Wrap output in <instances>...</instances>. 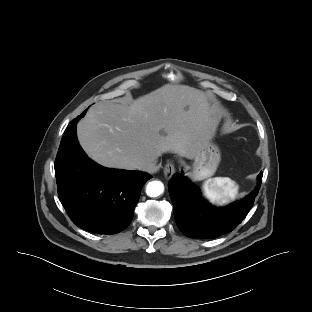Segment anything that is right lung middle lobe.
Listing matches in <instances>:
<instances>
[{"label": "right lung middle lobe", "instance_id": "obj_1", "mask_svg": "<svg viewBox=\"0 0 312 312\" xmlns=\"http://www.w3.org/2000/svg\"><path fill=\"white\" fill-rule=\"evenodd\" d=\"M86 113V111H84L80 116H78L77 118H75L73 121L70 122L69 126L76 124V122L82 118L84 116V114Z\"/></svg>", "mask_w": 312, "mask_h": 312}]
</instances>
